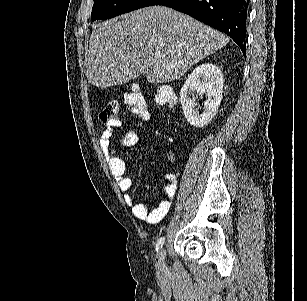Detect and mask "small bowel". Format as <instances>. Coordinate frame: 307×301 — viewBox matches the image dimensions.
I'll list each match as a JSON object with an SVG mask.
<instances>
[{
    "label": "small bowel",
    "mask_w": 307,
    "mask_h": 301,
    "mask_svg": "<svg viewBox=\"0 0 307 301\" xmlns=\"http://www.w3.org/2000/svg\"><path fill=\"white\" fill-rule=\"evenodd\" d=\"M120 121H113L105 124L99 145L104 152L110 171L116 180L119 189L124 194L125 203L131 207L133 215L140 220L150 224L160 222L168 213L176 191V175L173 173H164L162 178L167 182L163 189V198L156 208H151L144 203L136 202L134 196L130 193L132 180L127 176L125 161L116 155L115 148L110 143V138L115 130L120 127ZM139 136L137 129L129 130L120 140L123 147H132L138 143Z\"/></svg>",
    "instance_id": "obj_1"
}]
</instances>
